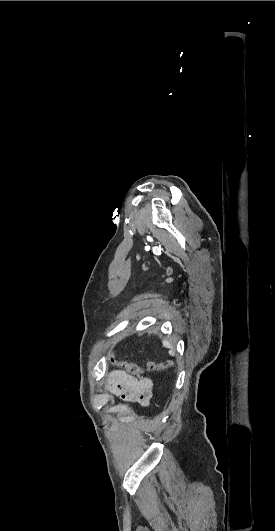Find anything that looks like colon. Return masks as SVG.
I'll return each instance as SVG.
<instances>
[{
	"instance_id": "1",
	"label": "colon",
	"mask_w": 275,
	"mask_h": 531,
	"mask_svg": "<svg viewBox=\"0 0 275 531\" xmlns=\"http://www.w3.org/2000/svg\"><path fill=\"white\" fill-rule=\"evenodd\" d=\"M108 356L110 357L109 360L113 365L117 367H122L130 373H141L145 370L153 372V371H160L164 369L174 368L173 364L167 360H157V361L148 362L144 367H142L138 365L137 363L126 362L120 358L114 357L115 353L113 351H110L108 353Z\"/></svg>"
}]
</instances>
